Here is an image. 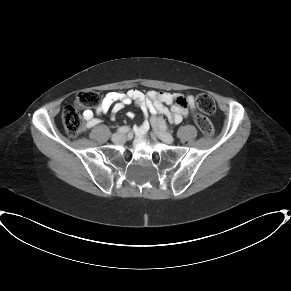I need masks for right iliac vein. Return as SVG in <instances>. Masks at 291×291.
I'll list each match as a JSON object with an SVG mask.
<instances>
[{"label": "right iliac vein", "instance_id": "1", "mask_svg": "<svg viewBox=\"0 0 291 291\" xmlns=\"http://www.w3.org/2000/svg\"><path fill=\"white\" fill-rule=\"evenodd\" d=\"M111 139L113 142L119 143L125 139V135L117 133V134H114Z\"/></svg>", "mask_w": 291, "mask_h": 291}]
</instances>
